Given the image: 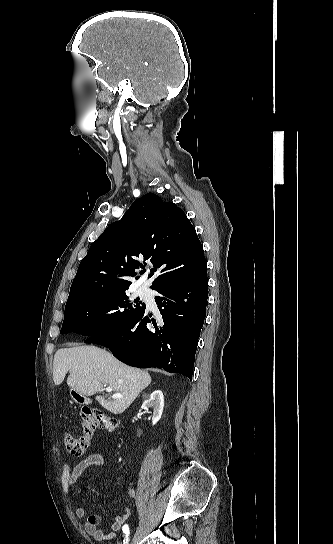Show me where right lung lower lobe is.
<instances>
[{"mask_svg":"<svg viewBox=\"0 0 333 544\" xmlns=\"http://www.w3.org/2000/svg\"><path fill=\"white\" fill-rule=\"evenodd\" d=\"M207 269L164 282L154 290L161 316L150 318L142 312L125 326L91 336L85 343L103 345L127 365L157 367L192 378L200 330L206 316ZM151 323V324H149Z\"/></svg>","mask_w":333,"mask_h":544,"instance_id":"right-lung-lower-lobe-1","label":"right lung lower lobe"}]
</instances>
